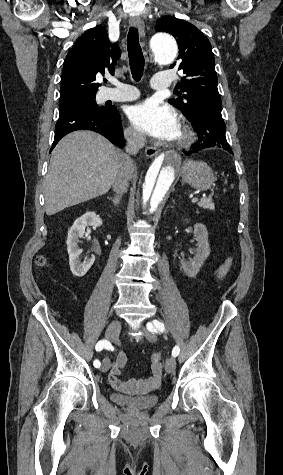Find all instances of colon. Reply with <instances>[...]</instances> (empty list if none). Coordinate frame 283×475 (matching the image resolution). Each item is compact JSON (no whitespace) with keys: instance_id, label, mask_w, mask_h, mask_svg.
<instances>
[{"instance_id":"obj_1","label":"colon","mask_w":283,"mask_h":475,"mask_svg":"<svg viewBox=\"0 0 283 475\" xmlns=\"http://www.w3.org/2000/svg\"><path fill=\"white\" fill-rule=\"evenodd\" d=\"M38 264L42 267L46 266L47 265V260L43 257H40L38 259ZM150 364H151V369L152 370H156L157 367L161 364V353L160 352H154L152 355H151V358H150Z\"/></svg>"}]
</instances>
